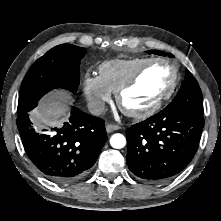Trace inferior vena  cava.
Segmentation results:
<instances>
[{
	"instance_id": "1",
	"label": "inferior vena cava",
	"mask_w": 221,
	"mask_h": 221,
	"mask_svg": "<svg viewBox=\"0 0 221 221\" xmlns=\"http://www.w3.org/2000/svg\"><path fill=\"white\" fill-rule=\"evenodd\" d=\"M88 110L95 116L102 115L106 111L105 103L103 101H93L88 103Z\"/></svg>"
}]
</instances>
